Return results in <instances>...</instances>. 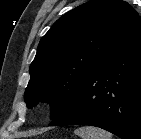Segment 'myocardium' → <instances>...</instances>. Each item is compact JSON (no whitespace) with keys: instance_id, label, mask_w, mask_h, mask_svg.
Instances as JSON below:
<instances>
[{"instance_id":"myocardium-1","label":"myocardium","mask_w":141,"mask_h":139,"mask_svg":"<svg viewBox=\"0 0 141 139\" xmlns=\"http://www.w3.org/2000/svg\"><path fill=\"white\" fill-rule=\"evenodd\" d=\"M45 103V101H42V104H44Z\"/></svg>"}]
</instances>
